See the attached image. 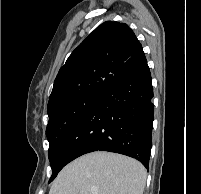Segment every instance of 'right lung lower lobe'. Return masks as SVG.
<instances>
[{
    "label": "right lung lower lobe",
    "instance_id": "right-lung-lower-lobe-1",
    "mask_svg": "<svg viewBox=\"0 0 201 194\" xmlns=\"http://www.w3.org/2000/svg\"><path fill=\"white\" fill-rule=\"evenodd\" d=\"M151 80L144 60L103 93L71 126L54 151L58 170L75 158L98 150L133 157L148 169L154 118Z\"/></svg>",
    "mask_w": 201,
    "mask_h": 194
}]
</instances>
